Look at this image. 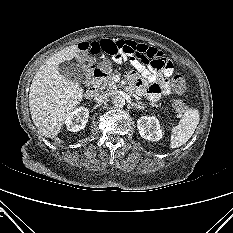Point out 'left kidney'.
<instances>
[{
  "label": "left kidney",
  "mask_w": 233,
  "mask_h": 233,
  "mask_svg": "<svg viewBox=\"0 0 233 233\" xmlns=\"http://www.w3.org/2000/svg\"><path fill=\"white\" fill-rule=\"evenodd\" d=\"M137 127L142 138L150 141H159L162 136V130L159 120L152 116H142L137 120Z\"/></svg>",
  "instance_id": "left-kidney-1"
}]
</instances>
